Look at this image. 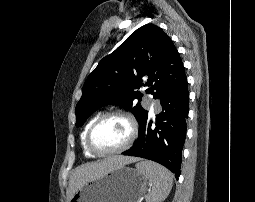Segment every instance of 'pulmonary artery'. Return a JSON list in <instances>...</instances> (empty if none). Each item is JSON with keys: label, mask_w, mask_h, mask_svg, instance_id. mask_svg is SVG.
Wrapping results in <instances>:
<instances>
[{"label": "pulmonary artery", "mask_w": 255, "mask_h": 202, "mask_svg": "<svg viewBox=\"0 0 255 202\" xmlns=\"http://www.w3.org/2000/svg\"><path fill=\"white\" fill-rule=\"evenodd\" d=\"M146 107L149 108L152 112H158L160 110L159 105L154 101H147L145 103Z\"/></svg>", "instance_id": "1"}]
</instances>
